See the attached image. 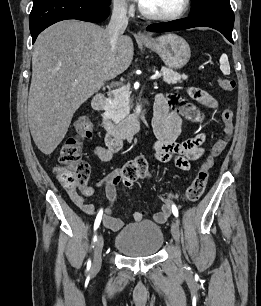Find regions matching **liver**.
<instances>
[{"mask_svg":"<svg viewBox=\"0 0 261 306\" xmlns=\"http://www.w3.org/2000/svg\"><path fill=\"white\" fill-rule=\"evenodd\" d=\"M132 39L114 49L107 30L64 20L45 29L34 44L28 121L38 149L50 155L64 139L75 111L133 60ZM77 80V81H76Z\"/></svg>","mask_w":261,"mask_h":306,"instance_id":"liver-1","label":"liver"}]
</instances>
